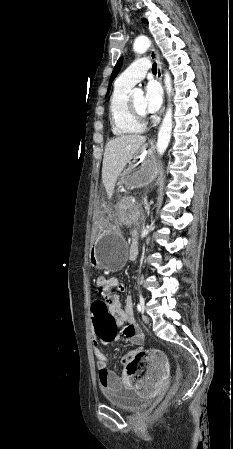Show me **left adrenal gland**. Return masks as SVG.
<instances>
[{"label": "left adrenal gland", "instance_id": "left-adrenal-gland-1", "mask_svg": "<svg viewBox=\"0 0 233 449\" xmlns=\"http://www.w3.org/2000/svg\"><path fill=\"white\" fill-rule=\"evenodd\" d=\"M145 210H146L147 215L149 216L150 215V206L148 205L147 201H145Z\"/></svg>", "mask_w": 233, "mask_h": 449}]
</instances>
